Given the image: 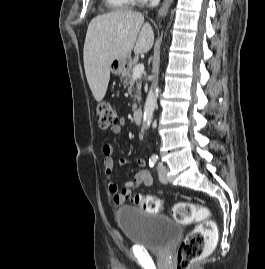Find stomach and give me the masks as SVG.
Instances as JSON below:
<instances>
[{
    "label": "stomach",
    "mask_w": 265,
    "mask_h": 269,
    "mask_svg": "<svg viewBox=\"0 0 265 269\" xmlns=\"http://www.w3.org/2000/svg\"><path fill=\"white\" fill-rule=\"evenodd\" d=\"M131 61L129 57L115 59L110 64V71L114 75L124 76L129 71Z\"/></svg>",
    "instance_id": "0dacf381"
}]
</instances>
